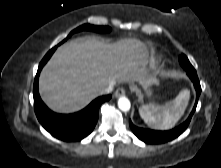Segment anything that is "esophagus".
<instances>
[{"label":"esophagus","mask_w":221,"mask_h":168,"mask_svg":"<svg viewBox=\"0 0 221 168\" xmlns=\"http://www.w3.org/2000/svg\"><path fill=\"white\" fill-rule=\"evenodd\" d=\"M125 93H126L125 89L122 88V87H120V88H118V89L115 91L114 96H115V97H120V96L125 95Z\"/></svg>","instance_id":"esophagus-1"}]
</instances>
